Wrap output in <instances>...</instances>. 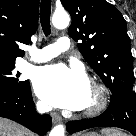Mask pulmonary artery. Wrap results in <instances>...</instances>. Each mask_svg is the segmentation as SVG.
Instances as JSON below:
<instances>
[{"label":"pulmonary artery","instance_id":"obj_1","mask_svg":"<svg viewBox=\"0 0 136 136\" xmlns=\"http://www.w3.org/2000/svg\"><path fill=\"white\" fill-rule=\"evenodd\" d=\"M70 47V41L67 37H60L54 44L48 45L42 49L35 51L32 61L45 62L48 61L61 52L68 50Z\"/></svg>","mask_w":136,"mask_h":136}]
</instances>
